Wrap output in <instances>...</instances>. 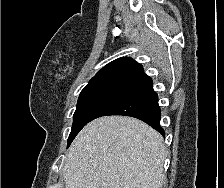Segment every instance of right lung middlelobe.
Segmentation results:
<instances>
[{
    "label": "right lung middle lobe",
    "mask_w": 224,
    "mask_h": 188,
    "mask_svg": "<svg viewBox=\"0 0 224 188\" xmlns=\"http://www.w3.org/2000/svg\"><path fill=\"white\" fill-rule=\"evenodd\" d=\"M129 83L130 80L125 79H105L89 82L81 91L78 99L72 129L68 138V146L79 131L90 122L94 113Z\"/></svg>",
    "instance_id": "obj_1"
}]
</instances>
